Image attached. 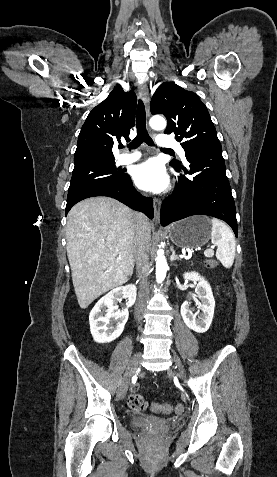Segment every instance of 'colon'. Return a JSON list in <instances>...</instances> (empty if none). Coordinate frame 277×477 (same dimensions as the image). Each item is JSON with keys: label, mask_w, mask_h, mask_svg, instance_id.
I'll use <instances>...</instances> for the list:
<instances>
[{"label": "colon", "mask_w": 277, "mask_h": 477, "mask_svg": "<svg viewBox=\"0 0 277 477\" xmlns=\"http://www.w3.org/2000/svg\"><path fill=\"white\" fill-rule=\"evenodd\" d=\"M203 265H204L205 268H214L216 266V262L211 257H206L204 262H203ZM225 296L228 297L227 298L228 302L232 301L233 294H232L231 290H226L225 291ZM128 404H129V407L134 411H142L147 406V403H146L144 397L140 394H137V393H133L129 396ZM151 409L154 412L166 413V414H168L172 411H174L176 414H180V413L183 412V406L181 404H177L173 407L169 404L154 403V404H152Z\"/></svg>", "instance_id": "colon-1"}]
</instances>
